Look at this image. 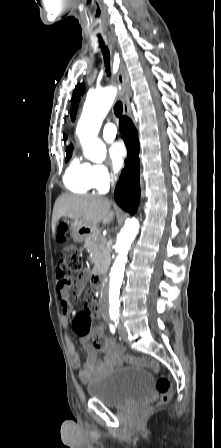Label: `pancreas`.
Wrapping results in <instances>:
<instances>
[{"label":"pancreas","instance_id":"1","mask_svg":"<svg viewBox=\"0 0 221 448\" xmlns=\"http://www.w3.org/2000/svg\"><path fill=\"white\" fill-rule=\"evenodd\" d=\"M106 240L99 232H93L85 239V247L91 254L94 270L97 272L106 271L110 264V255L105 248Z\"/></svg>","mask_w":221,"mask_h":448}]
</instances>
